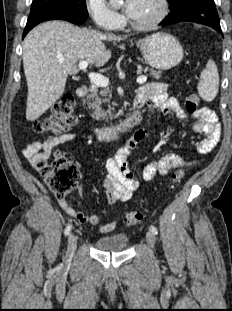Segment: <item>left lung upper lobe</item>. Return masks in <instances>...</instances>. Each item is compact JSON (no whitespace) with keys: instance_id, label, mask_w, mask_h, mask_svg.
I'll return each mask as SVG.
<instances>
[{"instance_id":"obj_1","label":"left lung upper lobe","mask_w":232,"mask_h":311,"mask_svg":"<svg viewBox=\"0 0 232 311\" xmlns=\"http://www.w3.org/2000/svg\"><path fill=\"white\" fill-rule=\"evenodd\" d=\"M170 3V6H172L177 0H167Z\"/></svg>"}]
</instances>
